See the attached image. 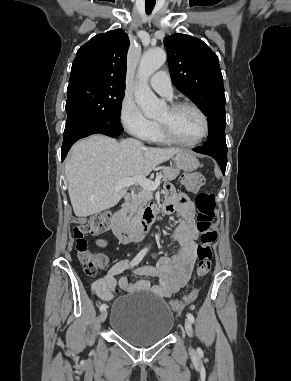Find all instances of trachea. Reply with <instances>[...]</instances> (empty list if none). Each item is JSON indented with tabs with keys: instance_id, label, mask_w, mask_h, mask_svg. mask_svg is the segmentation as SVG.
<instances>
[{
	"instance_id": "1",
	"label": "trachea",
	"mask_w": 291,
	"mask_h": 381,
	"mask_svg": "<svg viewBox=\"0 0 291 381\" xmlns=\"http://www.w3.org/2000/svg\"><path fill=\"white\" fill-rule=\"evenodd\" d=\"M154 6H155V2H147L146 1L145 9H146L147 15L151 14L152 10L154 9Z\"/></svg>"
}]
</instances>
